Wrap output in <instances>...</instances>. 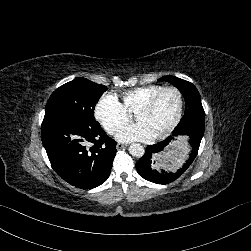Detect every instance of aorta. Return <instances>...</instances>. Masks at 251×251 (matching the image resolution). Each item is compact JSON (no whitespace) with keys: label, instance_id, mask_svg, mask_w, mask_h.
I'll use <instances>...</instances> for the list:
<instances>
[{"label":"aorta","instance_id":"1","mask_svg":"<svg viewBox=\"0 0 251 251\" xmlns=\"http://www.w3.org/2000/svg\"><path fill=\"white\" fill-rule=\"evenodd\" d=\"M129 153L134 157H141L144 155V148L141 144L132 143L129 146Z\"/></svg>","mask_w":251,"mask_h":251}]
</instances>
